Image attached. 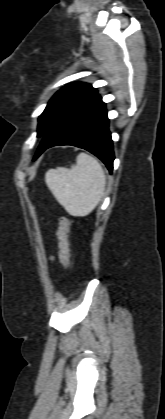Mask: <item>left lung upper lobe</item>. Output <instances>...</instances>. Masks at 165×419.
<instances>
[{"mask_svg":"<svg viewBox=\"0 0 165 419\" xmlns=\"http://www.w3.org/2000/svg\"><path fill=\"white\" fill-rule=\"evenodd\" d=\"M95 95L97 90L87 83L77 82L63 87L50 99L38 118L37 137H44L70 110Z\"/></svg>","mask_w":165,"mask_h":419,"instance_id":"1","label":"left lung upper lobe"}]
</instances>
